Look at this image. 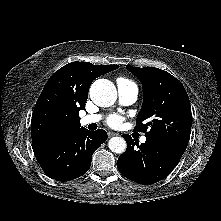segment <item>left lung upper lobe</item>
Returning <instances> with one entry per match:
<instances>
[{
    "mask_svg": "<svg viewBox=\"0 0 221 221\" xmlns=\"http://www.w3.org/2000/svg\"><path fill=\"white\" fill-rule=\"evenodd\" d=\"M126 68L138 77L144 92L135 129L146 132V138L162 141L184 152L189 142L192 114L182 83L159 68Z\"/></svg>",
    "mask_w": 221,
    "mask_h": 221,
    "instance_id": "obj_1",
    "label": "left lung upper lobe"
}]
</instances>
